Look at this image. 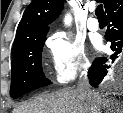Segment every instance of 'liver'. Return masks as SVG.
<instances>
[{
    "instance_id": "6515ba94",
    "label": "liver",
    "mask_w": 123,
    "mask_h": 113,
    "mask_svg": "<svg viewBox=\"0 0 123 113\" xmlns=\"http://www.w3.org/2000/svg\"><path fill=\"white\" fill-rule=\"evenodd\" d=\"M93 103L100 108L113 109L117 104L99 92H93ZM117 112L119 107L117 106ZM13 113H90L89 102L73 89H60L41 94L14 110Z\"/></svg>"
}]
</instances>
